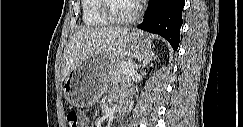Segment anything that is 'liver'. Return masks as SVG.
I'll use <instances>...</instances> for the list:
<instances>
[{
	"mask_svg": "<svg viewBox=\"0 0 243 127\" xmlns=\"http://www.w3.org/2000/svg\"><path fill=\"white\" fill-rule=\"evenodd\" d=\"M128 28H81L75 31L68 42L63 64L62 80L84 60L103 53L116 39L128 33Z\"/></svg>",
	"mask_w": 243,
	"mask_h": 127,
	"instance_id": "6515ba94",
	"label": "liver"
}]
</instances>
